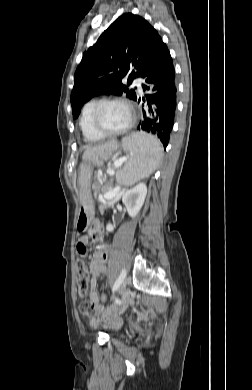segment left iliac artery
Listing matches in <instances>:
<instances>
[{
	"mask_svg": "<svg viewBox=\"0 0 252 390\" xmlns=\"http://www.w3.org/2000/svg\"><path fill=\"white\" fill-rule=\"evenodd\" d=\"M126 277V270L123 269L119 275V277L117 278V280L115 281L114 285H113V297H114V300H117L118 304L120 305L121 304V301L114 296V292L120 287V285L123 283L124 279Z\"/></svg>",
	"mask_w": 252,
	"mask_h": 390,
	"instance_id": "44dca946",
	"label": "left iliac artery"
}]
</instances>
